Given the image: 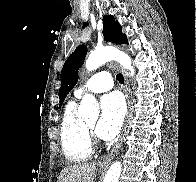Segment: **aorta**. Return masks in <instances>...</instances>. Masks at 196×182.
Instances as JSON below:
<instances>
[{
  "label": "aorta",
  "instance_id": "1",
  "mask_svg": "<svg viewBox=\"0 0 196 182\" xmlns=\"http://www.w3.org/2000/svg\"><path fill=\"white\" fill-rule=\"evenodd\" d=\"M111 60L118 61L125 69L130 71L131 76L134 75L135 71L131 65L130 57L113 47H103L92 51L86 60L85 66L88 71H92ZM78 116L85 120L96 121L98 119L99 105L94 96L90 94L84 95L78 109ZM121 169L122 165L119 161L113 162L105 176L104 182H118Z\"/></svg>",
  "mask_w": 196,
  "mask_h": 182
}]
</instances>
